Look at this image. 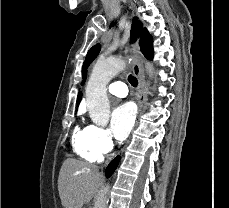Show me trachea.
I'll use <instances>...</instances> for the list:
<instances>
[{
    "mask_svg": "<svg viewBox=\"0 0 229 208\" xmlns=\"http://www.w3.org/2000/svg\"><path fill=\"white\" fill-rule=\"evenodd\" d=\"M128 82H129L133 87H137V85H138V80H137V78H135V76H133V75H129V76H128Z\"/></svg>",
    "mask_w": 229,
    "mask_h": 208,
    "instance_id": "trachea-1",
    "label": "trachea"
}]
</instances>
